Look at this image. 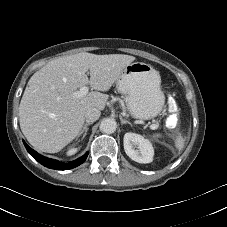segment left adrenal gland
Here are the masks:
<instances>
[{"mask_svg":"<svg viewBox=\"0 0 227 227\" xmlns=\"http://www.w3.org/2000/svg\"><path fill=\"white\" fill-rule=\"evenodd\" d=\"M120 120H121V124H122V125H123V124H130V125H131V123H130L129 121L123 119L122 116H120Z\"/></svg>","mask_w":227,"mask_h":227,"instance_id":"left-adrenal-gland-1","label":"left adrenal gland"}]
</instances>
